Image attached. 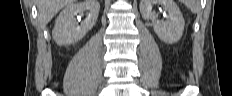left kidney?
<instances>
[{
  "instance_id": "obj_1",
  "label": "left kidney",
  "mask_w": 232,
  "mask_h": 96,
  "mask_svg": "<svg viewBox=\"0 0 232 96\" xmlns=\"http://www.w3.org/2000/svg\"><path fill=\"white\" fill-rule=\"evenodd\" d=\"M157 3L163 5L168 12L167 21L158 20V16L152 10ZM140 12L146 20H151L154 31L165 43H176L182 37L184 31V18L173 0H141Z\"/></svg>"
}]
</instances>
